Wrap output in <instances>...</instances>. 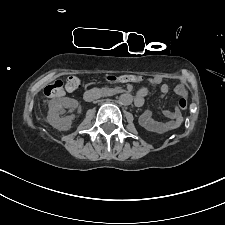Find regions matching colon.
I'll return each mask as SVG.
<instances>
[{
    "label": "colon",
    "instance_id": "obj_1",
    "mask_svg": "<svg viewBox=\"0 0 225 225\" xmlns=\"http://www.w3.org/2000/svg\"><path fill=\"white\" fill-rule=\"evenodd\" d=\"M106 80L110 83L114 82H141L142 77L137 76V75H132V74H125V75H120V76H115V75H110L106 78ZM81 87V81L79 78L71 76L68 77L66 81L63 80H57L44 89V93L46 96L49 97H56L60 96L64 93V90L66 89L67 91H75ZM178 108L180 110H185L188 107V102L185 98H181L178 101L177 104Z\"/></svg>",
    "mask_w": 225,
    "mask_h": 225
}]
</instances>
